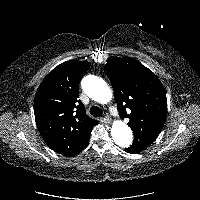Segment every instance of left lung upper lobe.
Wrapping results in <instances>:
<instances>
[{
    "mask_svg": "<svg viewBox=\"0 0 200 200\" xmlns=\"http://www.w3.org/2000/svg\"><path fill=\"white\" fill-rule=\"evenodd\" d=\"M106 71L120 116L130 119L132 146L148 147L166 120L167 99L162 83L152 71L129 57H109Z\"/></svg>",
    "mask_w": 200,
    "mask_h": 200,
    "instance_id": "5c2ea615",
    "label": "left lung upper lobe"
}]
</instances>
